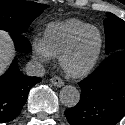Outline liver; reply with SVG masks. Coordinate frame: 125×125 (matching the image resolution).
<instances>
[{
    "mask_svg": "<svg viewBox=\"0 0 125 125\" xmlns=\"http://www.w3.org/2000/svg\"><path fill=\"white\" fill-rule=\"evenodd\" d=\"M12 41L5 31H0V75L6 70L13 56Z\"/></svg>",
    "mask_w": 125,
    "mask_h": 125,
    "instance_id": "liver-1",
    "label": "liver"
}]
</instances>
